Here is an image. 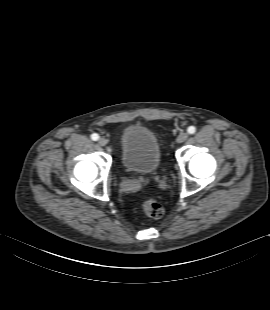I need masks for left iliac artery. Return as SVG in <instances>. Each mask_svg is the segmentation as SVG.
<instances>
[{"label":"left iliac artery","mask_w":270,"mask_h":310,"mask_svg":"<svg viewBox=\"0 0 270 310\" xmlns=\"http://www.w3.org/2000/svg\"><path fill=\"white\" fill-rule=\"evenodd\" d=\"M187 131L189 134H194L196 132V128L194 126H190L188 127Z\"/></svg>","instance_id":"1"}]
</instances>
